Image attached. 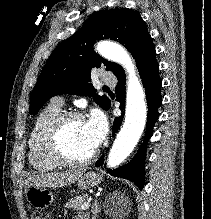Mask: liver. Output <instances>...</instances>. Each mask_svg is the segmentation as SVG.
Wrapping results in <instances>:
<instances>
[{"mask_svg":"<svg viewBox=\"0 0 211 219\" xmlns=\"http://www.w3.org/2000/svg\"><path fill=\"white\" fill-rule=\"evenodd\" d=\"M84 173V170H69L60 173H44L30 176L26 180L27 186L36 187H63L76 182Z\"/></svg>","mask_w":211,"mask_h":219,"instance_id":"obj_1","label":"liver"}]
</instances>
